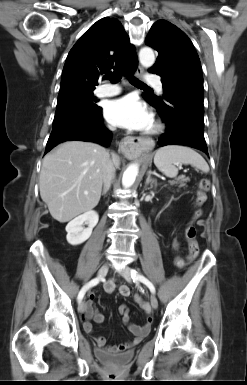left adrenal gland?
Instances as JSON below:
<instances>
[{
	"label": "left adrenal gland",
	"mask_w": 247,
	"mask_h": 385,
	"mask_svg": "<svg viewBox=\"0 0 247 385\" xmlns=\"http://www.w3.org/2000/svg\"><path fill=\"white\" fill-rule=\"evenodd\" d=\"M150 184V188H153V185L156 184V181L151 178V173L150 171L147 173V178L145 181V186Z\"/></svg>",
	"instance_id": "obj_1"
}]
</instances>
